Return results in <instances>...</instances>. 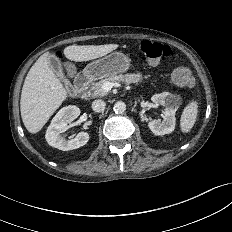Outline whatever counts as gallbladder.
<instances>
[{
    "instance_id": "bac80fb5",
    "label": "gallbladder",
    "mask_w": 232,
    "mask_h": 232,
    "mask_svg": "<svg viewBox=\"0 0 232 232\" xmlns=\"http://www.w3.org/2000/svg\"><path fill=\"white\" fill-rule=\"evenodd\" d=\"M48 64L50 66V68L52 69V71L63 81H66V77L63 73V69H62V64L61 61L59 60V58L55 55V54H49L48 55Z\"/></svg>"
}]
</instances>
